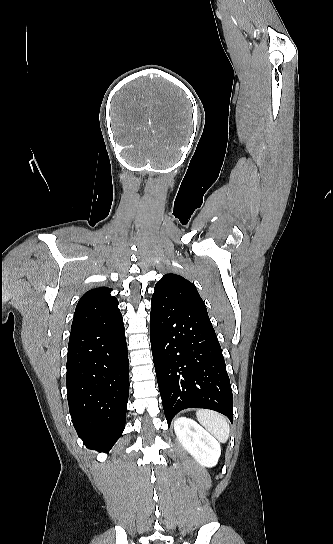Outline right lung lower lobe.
<instances>
[{
    "instance_id": "98d812e1",
    "label": "right lung lower lobe",
    "mask_w": 333,
    "mask_h": 544,
    "mask_svg": "<svg viewBox=\"0 0 333 544\" xmlns=\"http://www.w3.org/2000/svg\"><path fill=\"white\" fill-rule=\"evenodd\" d=\"M67 398L87 448L108 451L121 436L129 395V361L121 313L71 330Z\"/></svg>"
}]
</instances>
